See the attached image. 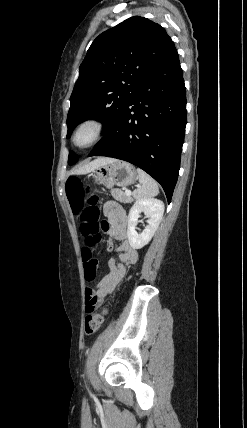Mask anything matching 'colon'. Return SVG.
I'll list each match as a JSON object with an SVG mask.
<instances>
[{
	"instance_id": "1",
	"label": "colon",
	"mask_w": 247,
	"mask_h": 428,
	"mask_svg": "<svg viewBox=\"0 0 247 428\" xmlns=\"http://www.w3.org/2000/svg\"><path fill=\"white\" fill-rule=\"evenodd\" d=\"M66 193L71 208L80 221V231L85 238L82 248L85 280L93 282L97 278L98 270L95 248L101 241L100 230L106 231L107 227L105 222H99V197L92 194L88 186L76 177L68 179ZM85 304L87 316L84 329L87 335H92L102 327L107 315V308L104 307L97 312L99 303L95 298L86 299Z\"/></svg>"
}]
</instances>
